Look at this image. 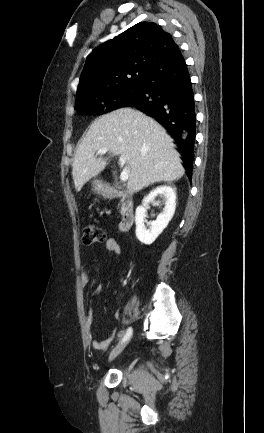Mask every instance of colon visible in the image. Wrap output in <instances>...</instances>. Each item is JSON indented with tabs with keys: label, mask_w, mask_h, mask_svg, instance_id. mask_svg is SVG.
<instances>
[{
	"label": "colon",
	"mask_w": 264,
	"mask_h": 433,
	"mask_svg": "<svg viewBox=\"0 0 264 433\" xmlns=\"http://www.w3.org/2000/svg\"><path fill=\"white\" fill-rule=\"evenodd\" d=\"M107 235L105 231L97 226H89L84 229L82 242L86 246L102 243L106 241Z\"/></svg>",
	"instance_id": "5ec220e1"
}]
</instances>
